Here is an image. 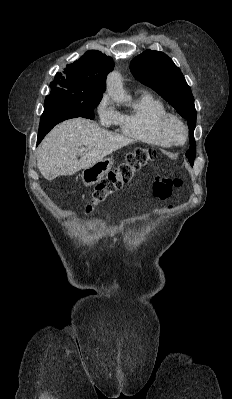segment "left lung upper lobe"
Segmentation results:
<instances>
[{
    "mask_svg": "<svg viewBox=\"0 0 232 399\" xmlns=\"http://www.w3.org/2000/svg\"><path fill=\"white\" fill-rule=\"evenodd\" d=\"M130 70L139 82L155 90L188 121L190 148L186 157L193 166L196 152L193 132L197 112L191 89L180 69L163 52L146 50L131 61Z\"/></svg>",
    "mask_w": 232,
    "mask_h": 399,
    "instance_id": "1",
    "label": "left lung upper lobe"
}]
</instances>
